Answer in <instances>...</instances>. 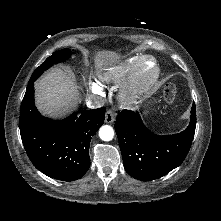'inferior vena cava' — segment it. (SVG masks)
I'll return each instance as SVG.
<instances>
[{
    "mask_svg": "<svg viewBox=\"0 0 221 221\" xmlns=\"http://www.w3.org/2000/svg\"><path fill=\"white\" fill-rule=\"evenodd\" d=\"M104 105V100L103 99H97V98H95V97H91V98H89V100H88V102H87V106L89 107V108H99V107H101V106H103Z\"/></svg>",
    "mask_w": 221,
    "mask_h": 221,
    "instance_id": "obj_1",
    "label": "inferior vena cava"
}]
</instances>
